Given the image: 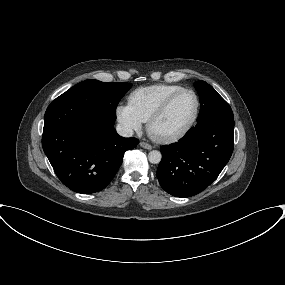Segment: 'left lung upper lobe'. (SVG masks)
I'll list each match as a JSON object with an SVG mask.
<instances>
[{
  "label": "left lung upper lobe",
  "instance_id": "5c2ea615",
  "mask_svg": "<svg viewBox=\"0 0 285 285\" xmlns=\"http://www.w3.org/2000/svg\"><path fill=\"white\" fill-rule=\"evenodd\" d=\"M194 86L200 96V113L197 122L215 117L230 116L233 112L229 104L214 90V88L204 81H197Z\"/></svg>",
  "mask_w": 285,
  "mask_h": 285
}]
</instances>
